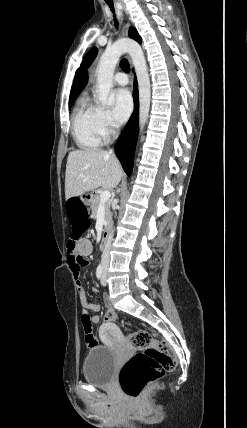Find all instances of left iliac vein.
Masks as SVG:
<instances>
[{
    "label": "left iliac vein",
    "mask_w": 247,
    "mask_h": 428,
    "mask_svg": "<svg viewBox=\"0 0 247 428\" xmlns=\"http://www.w3.org/2000/svg\"><path fill=\"white\" fill-rule=\"evenodd\" d=\"M101 284H102L103 286H106V284H107V280H106V270L103 272L102 279H101Z\"/></svg>",
    "instance_id": "left-iliac-vein-1"
}]
</instances>
